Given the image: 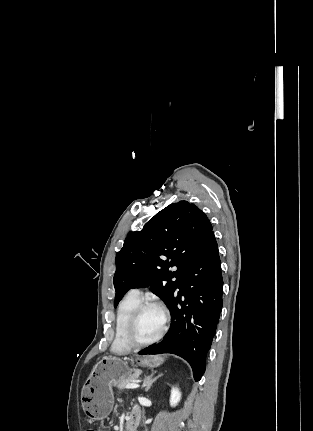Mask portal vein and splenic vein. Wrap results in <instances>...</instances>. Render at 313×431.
<instances>
[{"label":"portal vein and splenic vein","mask_w":313,"mask_h":431,"mask_svg":"<svg viewBox=\"0 0 313 431\" xmlns=\"http://www.w3.org/2000/svg\"><path fill=\"white\" fill-rule=\"evenodd\" d=\"M140 385L138 384V383H136V382H132V383H127L126 385H125V388H131V389H134V388H138Z\"/></svg>","instance_id":"18ae733b"}]
</instances>
